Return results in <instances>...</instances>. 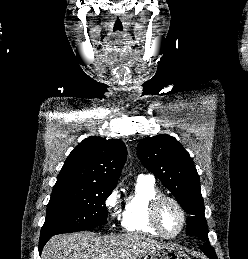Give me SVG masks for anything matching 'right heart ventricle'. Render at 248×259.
Wrapping results in <instances>:
<instances>
[{
  "instance_id": "obj_1",
  "label": "right heart ventricle",
  "mask_w": 248,
  "mask_h": 259,
  "mask_svg": "<svg viewBox=\"0 0 248 259\" xmlns=\"http://www.w3.org/2000/svg\"><path fill=\"white\" fill-rule=\"evenodd\" d=\"M161 194L155 181L138 177L133 191L126 197L121 213V224L126 232L159 236L150 222L151 202Z\"/></svg>"
}]
</instances>
